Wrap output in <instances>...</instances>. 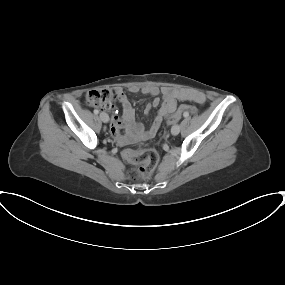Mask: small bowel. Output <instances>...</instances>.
<instances>
[{"label":"small bowel","instance_id":"c3829d8e","mask_svg":"<svg viewBox=\"0 0 285 285\" xmlns=\"http://www.w3.org/2000/svg\"><path fill=\"white\" fill-rule=\"evenodd\" d=\"M111 91L116 95L123 110L121 118L113 114L111 125L112 135L116 137L121 144H130L153 138L163 121L176 110L179 100L200 105L204 104L206 100L205 95L197 91L177 90L168 87L160 89L155 85L144 86L141 92L154 97L152 102L146 104L144 109L145 114H149L152 108L159 107L150 128L145 129L141 122L135 120V110L124 91L121 88H113ZM129 91L136 93L139 91V88L132 86L129 88ZM161 93L163 95L162 99L159 98ZM121 130L125 132L124 135H120Z\"/></svg>","mask_w":285,"mask_h":285}]
</instances>
